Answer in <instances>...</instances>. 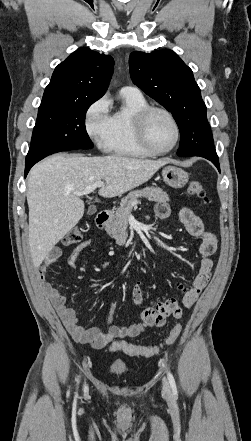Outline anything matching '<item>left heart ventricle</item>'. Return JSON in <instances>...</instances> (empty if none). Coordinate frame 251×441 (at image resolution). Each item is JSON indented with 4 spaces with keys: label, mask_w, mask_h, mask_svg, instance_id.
<instances>
[{
    "label": "left heart ventricle",
    "mask_w": 251,
    "mask_h": 441,
    "mask_svg": "<svg viewBox=\"0 0 251 441\" xmlns=\"http://www.w3.org/2000/svg\"><path fill=\"white\" fill-rule=\"evenodd\" d=\"M151 145L158 150L169 148L175 140V130L169 118L160 112L153 113L147 123Z\"/></svg>",
    "instance_id": "obj_1"
}]
</instances>
